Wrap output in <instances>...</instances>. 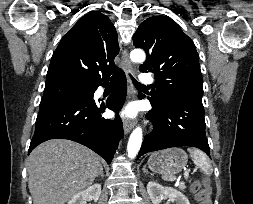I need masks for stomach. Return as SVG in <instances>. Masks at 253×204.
<instances>
[{"label": "stomach", "mask_w": 253, "mask_h": 204, "mask_svg": "<svg viewBox=\"0 0 253 204\" xmlns=\"http://www.w3.org/2000/svg\"><path fill=\"white\" fill-rule=\"evenodd\" d=\"M188 156L181 148H170L152 153L148 160L151 171L162 175H175L187 165Z\"/></svg>", "instance_id": "stomach-1"}]
</instances>
